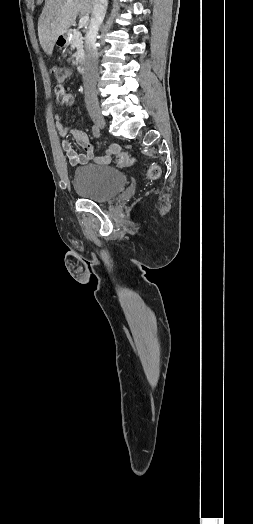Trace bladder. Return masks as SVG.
Returning a JSON list of instances; mask_svg holds the SVG:
<instances>
[{
    "label": "bladder",
    "mask_w": 253,
    "mask_h": 524,
    "mask_svg": "<svg viewBox=\"0 0 253 524\" xmlns=\"http://www.w3.org/2000/svg\"><path fill=\"white\" fill-rule=\"evenodd\" d=\"M72 183L81 199L105 203L126 187L127 178L113 167L87 165L74 171Z\"/></svg>",
    "instance_id": "1"
}]
</instances>
